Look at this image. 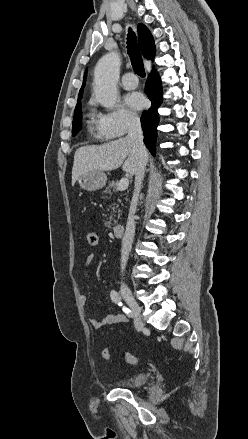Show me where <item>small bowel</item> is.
<instances>
[{
  "label": "small bowel",
  "mask_w": 248,
  "mask_h": 439,
  "mask_svg": "<svg viewBox=\"0 0 248 439\" xmlns=\"http://www.w3.org/2000/svg\"><path fill=\"white\" fill-rule=\"evenodd\" d=\"M94 259H95L94 254H90L86 258L85 264H84L85 269H88L92 265ZM81 300H82V302H86V300H87L86 294H84V293L81 294ZM126 320H127V318L123 313H113V314L106 315L102 319H91L90 324L94 329H100L103 326H110V325H114V324H118V323H123Z\"/></svg>",
  "instance_id": "c3829d8e"
}]
</instances>
